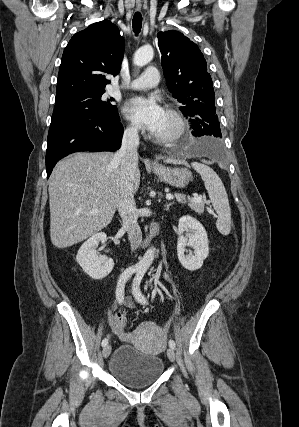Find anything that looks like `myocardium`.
<instances>
[{
    "label": "myocardium",
    "instance_id": "myocardium-1",
    "mask_svg": "<svg viewBox=\"0 0 299 427\" xmlns=\"http://www.w3.org/2000/svg\"><path fill=\"white\" fill-rule=\"evenodd\" d=\"M165 113L172 118L174 129L166 134H154V139L160 143H172L179 140L185 134L186 121L181 112L172 106L166 107Z\"/></svg>",
    "mask_w": 299,
    "mask_h": 427
}]
</instances>
